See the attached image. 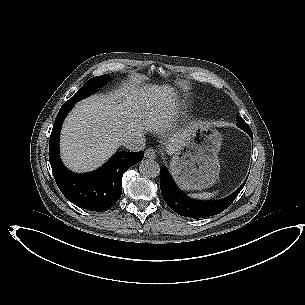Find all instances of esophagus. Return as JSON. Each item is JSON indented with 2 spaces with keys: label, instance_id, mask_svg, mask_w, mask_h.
<instances>
[{
  "label": "esophagus",
  "instance_id": "esophagus-1",
  "mask_svg": "<svg viewBox=\"0 0 305 305\" xmlns=\"http://www.w3.org/2000/svg\"><path fill=\"white\" fill-rule=\"evenodd\" d=\"M145 157L149 159H154L156 157V150L153 148H148L145 151Z\"/></svg>",
  "mask_w": 305,
  "mask_h": 305
}]
</instances>
